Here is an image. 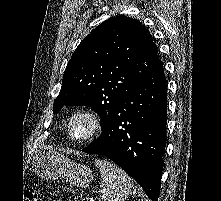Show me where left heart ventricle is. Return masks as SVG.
<instances>
[{"label": "left heart ventricle", "instance_id": "b2bd125f", "mask_svg": "<svg viewBox=\"0 0 221 201\" xmlns=\"http://www.w3.org/2000/svg\"><path fill=\"white\" fill-rule=\"evenodd\" d=\"M89 129V124L85 119H77L72 125V133L76 137L84 136Z\"/></svg>", "mask_w": 221, "mask_h": 201}]
</instances>
